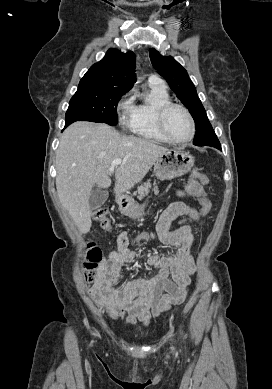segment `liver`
Returning <instances> with one entry per match:
<instances>
[{
	"instance_id": "obj_1",
	"label": "liver",
	"mask_w": 272,
	"mask_h": 389,
	"mask_svg": "<svg viewBox=\"0 0 272 389\" xmlns=\"http://www.w3.org/2000/svg\"><path fill=\"white\" fill-rule=\"evenodd\" d=\"M167 151L151 140L121 135L104 123L71 124L62 134L56 153V188L79 231L86 234L90 230L89 197L95 184L100 188L111 185L108 169L113 160H124L116 167L114 188V193L123 194L141 182Z\"/></svg>"
}]
</instances>
